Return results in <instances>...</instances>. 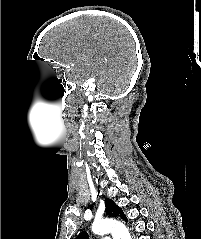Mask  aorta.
<instances>
[{"mask_svg": "<svg viewBox=\"0 0 201 239\" xmlns=\"http://www.w3.org/2000/svg\"><path fill=\"white\" fill-rule=\"evenodd\" d=\"M92 231L97 235L111 233L114 239H132L125 225L114 219L106 218L95 221L92 225Z\"/></svg>", "mask_w": 201, "mask_h": 239, "instance_id": "aorta-1", "label": "aorta"}]
</instances>
